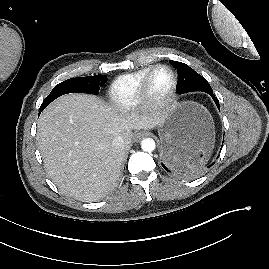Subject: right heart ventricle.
<instances>
[{
	"label": "right heart ventricle",
	"instance_id": "1",
	"mask_svg": "<svg viewBox=\"0 0 269 269\" xmlns=\"http://www.w3.org/2000/svg\"><path fill=\"white\" fill-rule=\"evenodd\" d=\"M150 67L118 76L109 87V98L118 108L129 110L139 103L140 84Z\"/></svg>",
	"mask_w": 269,
	"mask_h": 269
}]
</instances>
